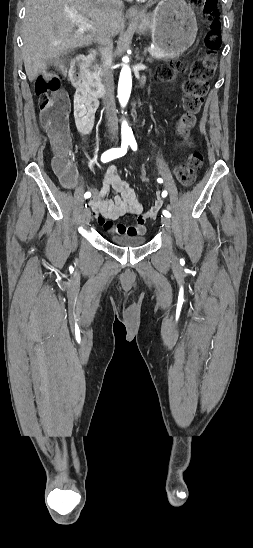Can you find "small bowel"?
Returning <instances> with one entry per match:
<instances>
[{
    "instance_id": "obj_1",
    "label": "small bowel",
    "mask_w": 253,
    "mask_h": 548,
    "mask_svg": "<svg viewBox=\"0 0 253 548\" xmlns=\"http://www.w3.org/2000/svg\"><path fill=\"white\" fill-rule=\"evenodd\" d=\"M98 107L96 98L76 90L73 99V118L78 132L82 135L91 134ZM72 168L73 172L69 177L60 176L62 184L68 189H73L78 184L77 170L74 166ZM111 194L114 196L111 197ZM89 205L98 223L106 231L116 234H143L146 231V221L157 214L162 201L158 200L152 209L144 211L135 190L118 174L116 167L110 165L103 174L100 187L92 189ZM126 214L137 217L135 225H113L112 221Z\"/></svg>"
}]
</instances>
